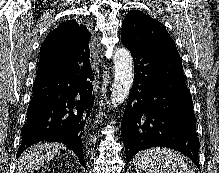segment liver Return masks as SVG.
<instances>
[{"label": "liver", "mask_w": 219, "mask_h": 173, "mask_svg": "<svg viewBox=\"0 0 219 173\" xmlns=\"http://www.w3.org/2000/svg\"><path fill=\"white\" fill-rule=\"evenodd\" d=\"M61 148V144L48 142L32 146L21 155L16 173H33L49 163Z\"/></svg>", "instance_id": "1"}]
</instances>
